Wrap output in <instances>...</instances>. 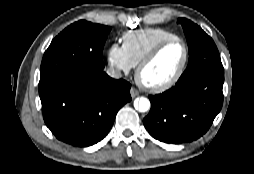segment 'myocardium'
Returning <instances> with one entry per match:
<instances>
[{"label":"myocardium","instance_id":"1","mask_svg":"<svg viewBox=\"0 0 254 174\" xmlns=\"http://www.w3.org/2000/svg\"><path fill=\"white\" fill-rule=\"evenodd\" d=\"M173 42H180L184 47V57H183L182 63L180 65L179 69L177 70V72L169 80L159 83V84H148V83L144 82L141 79L142 71L157 58V56L160 54V52L167 45H169ZM189 54H190V52H189L188 44L181 37L177 36V37L166 39L164 41L159 42L138 63L136 71H135V78H136L137 83L144 89L149 90L151 92H155V93L163 92V91L170 89L180 80V78L184 74L185 69L188 64Z\"/></svg>","mask_w":254,"mask_h":174}]
</instances>
